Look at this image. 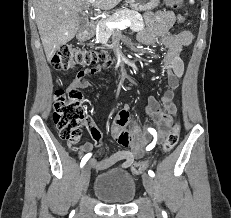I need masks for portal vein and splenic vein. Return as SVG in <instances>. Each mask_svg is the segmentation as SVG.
I'll return each instance as SVG.
<instances>
[{"label":"portal vein and splenic vein","instance_id":"obj_1","mask_svg":"<svg viewBox=\"0 0 231 218\" xmlns=\"http://www.w3.org/2000/svg\"><path fill=\"white\" fill-rule=\"evenodd\" d=\"M89 2L93 4L95 0H90ZM105 24L108 28H122V27L130 26L131 22L128 20H123L120 22H107Z\"/></svg>","mask_w":231,"mask_h":218}]
</instances>
